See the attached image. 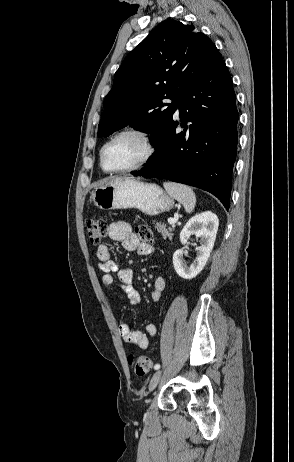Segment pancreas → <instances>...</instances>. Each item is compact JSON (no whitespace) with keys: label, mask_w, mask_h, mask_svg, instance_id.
Here are the masks:
<instances>
[{"label":"pancreas","mask_w":294,"mask_h":462,"mask_svg":"<svg viewBox=\"0 0 294 462\" xmlns=\"http://www.w3.org/2000/svg\"><path fill=\"white\" fill-rule=\"evenodd\" d=\"M155 228L157 229L159 233L162 234L164 238L172 239V236H173L172 231H174L173 228H170V227L166 228V225L163 223H156Z\"/></svg>","instance_id":"1"}]
</instances>
